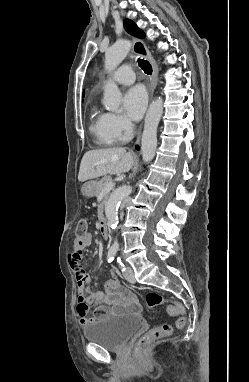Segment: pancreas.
Wrapping results in <instances>:
<instances>
[{
    "label": "pancreas",
    "instance_id": "obj_1",
    "mask_svg": "<svg viewBox=\"0 0 249 382\" xmlns=\"http://www.w3.org/2000/svg\"><path fill=\"white\" fill-rule=\"evenodd\" d=\"M108 182H112V178L110 176H105L103 177L96 185V189H95V193L94 195L97 197L98 195H100L102 192H103V189L105 187V185L108 183ZM109 198V192H107L105 195H104V198H103V201L102 203L99 205L98 207V218L101 219L103 217V206L104 204L106 203V201L108 200Z\"/></svg>",
    "mask_w": 249,
    "mask_h": 382
}]
</instances>
